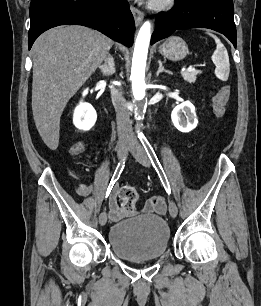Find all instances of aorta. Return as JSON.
I'll use <instances>...</instances> for the list:
<instances>
[{
	"mask_svg": "<svg viewBox=\"0 0 261 306\" xmlns=\"http://www.w3.org/2000/svg\"><path fill=\"white\" fill-rule=\"evenodd\" d=\"M151 38V24L146 21L139 29L132 58L131 80L134 99L141 102L145 98V68Z\"/></svg>",
	"mask_w": 261,
	"mask_h": 306,
	"instance_id": "aorta-1",
	"label": "aorta"
}]
</instances>
